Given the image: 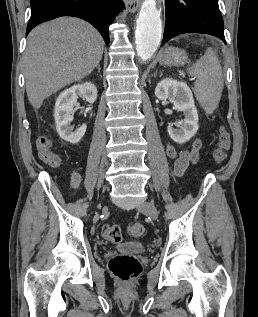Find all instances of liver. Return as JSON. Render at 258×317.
<instances>
[{"label":"liver","instance_id":"6515ba94","mask_svg":"<svg viewBox=\"0 0 258 317\" xmlns=\"http://www.w3.org/2000/svg\"><path fill=\"white\" fill-rule=\"evenodd\" d=\"M104 40L89 22L62 16L35 26L23 56L26 92L34 108L62 86L92 72L103 54Z\"/></svg>","mask_w":258,"mask_h":317}]
</instances>
